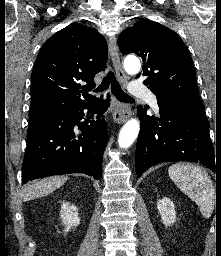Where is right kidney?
Masks as SVG:
<instances>
[{"label": "right kidney", "mask_w": 221, "mask_h": 256, "mask_svg": "<svg viewBox=\"0 0 221 256\" xmlns=\"http://www.w3.org/2000/svg\"><path fill=\"white\" fill-rule=\"evenodd\" d=\"M61 219L65 226L64 232L67 233L73 227L80 224V218L78 217L77 207L70 205L68 202H63L61 207Z\"/></svg>", "instance_id": "ca27d5eb"}]
</instances>
